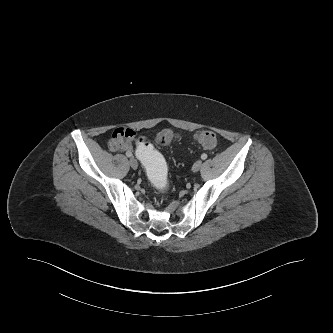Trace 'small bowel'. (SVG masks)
<instances>
[{
	"label": "small bowel",
	"instance_id": "1",
	"mask_svg": "<svg viewBox=\"0 0 333 333\" xmlns=\"http://www.w3.org/2000/svg\"><path fill=\"white\" fill-rule=\"evenodd\" d=\"M110 139L109 148L116 152H131L137 141L135 130L128 126L113 128L110 132Z\"/></svg>",
	"mask_w": 333,
	"mask_h": 333
}]
</instances>
